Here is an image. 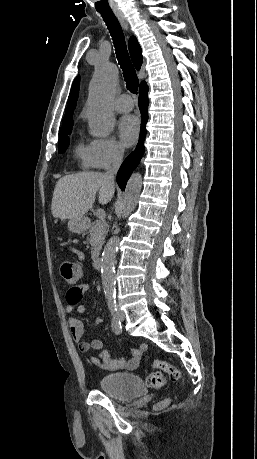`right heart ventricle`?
Listing matches in <instances>:
<instances>
[{
  "mask_svg": "<svg viewBox=\"0 0 257 459\" xmlns=\"http://www.w3.org/2000/svg\"><path fill=\"white\" fill-rule=\"evenodd\" d=\"M75 156L83 168L94 167L90 156L89 145L79 142L75 148Z\"/></svg>",
  "mask_w": 257,
  "mask_h": 459,
  "instance_id": "1",
  "label": "right heart ventricle"
}]
</instances>
